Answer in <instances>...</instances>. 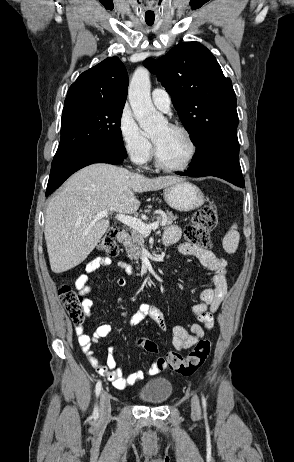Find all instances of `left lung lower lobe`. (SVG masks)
Returning a JSON list of instances; mask_svg holds the SVG:
<instances>
[{
    "mask_svg": "<svg viewBox=\"0 0 294 462\" xmlns=\"http://www.w3.org/2000/svg\"><path fill=\"white\" fill-rule=\"evenodd\" d=\"M188 170L179 175L190 177L215 176L241 188L244 178L238 162L239 144L236 129H228L212 140L196 147Z\"/></svg>",
    "mask_w": 294,
    "mask_h": 462,
    "instance_id": "left-lung-lower-lobe-1",
    "label": "left lung lower lobe"
}]
</instances>
